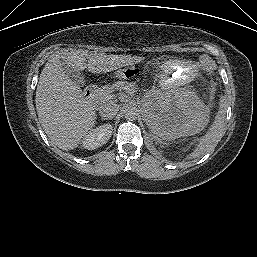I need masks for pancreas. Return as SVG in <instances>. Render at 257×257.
<instances>
[{
	"instance_id": "cf45deb5",
	"label": "pancreas",
	"mask_w": 257,
	"mask_h": 257,
	"mask_svg": "<svg viewBox=\"0 0 257 257\" xmlns=\"http://www.w3.org/2000/svg\"><path fill=\"white\" fill-rule=\"evenodd\" d=\"M124 88H129L132 91H134L135 85L134 83L127 81H119L111 85H105L99 88V90L97 91L96 98L99 102H107L110 100V95H112L113 92Z\"/></svg>"
}]
</instances>
